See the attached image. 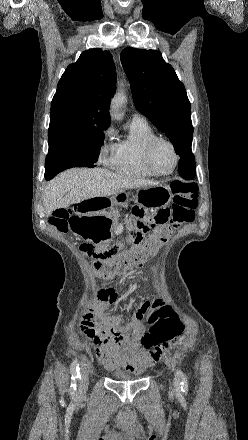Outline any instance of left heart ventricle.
Segmentation results:
<instances>
[{"mask_svg": "<svg viewBox=\"0 0 248 440\" xmlns=\"http://www.w3.org/2000/svg\"><path fill=\"white\" fill-rule=\"evenodd\" d=\"M152 162L154 167L161 171H169L174 165V155L171 148L164 144H158L152 154Z\"/></svg>", "mask_w": 248, "mask_h": 440, "instance_id": "1", "label": "left heart ventricle"}]
</instances>
